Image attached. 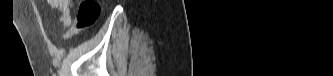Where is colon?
<instances>
[{"label": "colon", "instance_id": "5ec220e1", "mask_svg": "<svg viewBox=\"0 0 333 76\" xmlns=\"http://www.w3.org/2000/svg\"><path fill=\"white\" fill-rule=\"evenodd\" d=\"M100 7L95 0H83L79 4L75 26L65 35L69 39L76 33L84 31L93 26L98 20Z\"/></svg>", "mask_w": 333, "mask_h": 76}]
</instances>
